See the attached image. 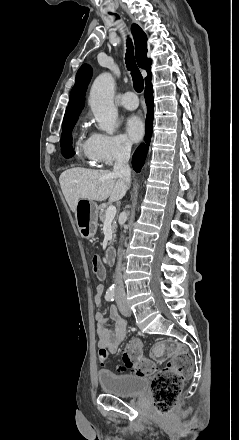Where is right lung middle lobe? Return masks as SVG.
Wrapping results in <instances>:
<instances>
[{"mask_svg":"<svg viewBox=\"0 0 239 440\" xmlns=\"http://www.w3.org/2000/svg\"><path fill=\"white\" fill-rule=\"evenodd\" d=\"M77 120H74L68 124L63 125L62 128V135H61V147H62V153L70 150L72 148L71 144H72V138H71V132L72 129L75 125Z\"/></svg>","mask_w":239,"mask_h":440,"instance_id":"1","label":"right lung middle lobe"}]
</instances>
